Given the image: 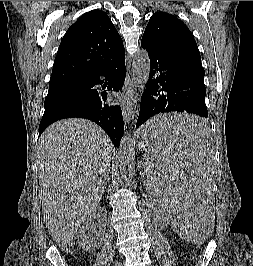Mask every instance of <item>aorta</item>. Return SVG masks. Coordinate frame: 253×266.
<instances>
[{
  "mask_svg": "<svg viewBox=\"0 0 253 266\" xmlns=\"http://www.w3.org/2000/svg\"><path fill=\"white\" fill-rule=\"evenodd\" d=\"M150 59L146 50L139 49L135 53L132 69V80L137 86H145L149 79ZM119 170L124 182L132 179L135 172V150L131 136L125 133L118 150Z\"/></svg>",
  "mask_w": 253,
  "mask_h": 266,
  "instance_id": "762f6f07",
  "label": "aorta"
}]
</instances>
